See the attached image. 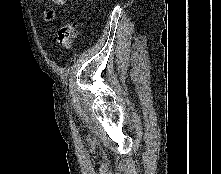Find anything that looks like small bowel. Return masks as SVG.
<instances>
[{
	"label": "small bowel",
	"instance_id": "c3829d8e",
	"mask_svg": "<svg viewBox=\"0 0 221 174\" xmlns=\"http://www.w3.org/2000/svg\"><path fill=\"white\" fill-rule=\"evenodd\" d=\"M33 1H38V0H33ZM53 5H57V6H63L65 5L66 0H49ZM53 18V11L51 9H47L46 10V14H45V19L47 21L52 20Z\"/></svg>",
	"mask_w": 221,
	"mask_h": 174
}]
</instances>
